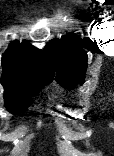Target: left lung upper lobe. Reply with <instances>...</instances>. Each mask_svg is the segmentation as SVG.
<instances>
[{
	"label": "left lung upper lobe",
	"mask_w": 114,
	"mask_h": 156,
	"mask_svg": "<svg viewBox=\"0 0 114 156\" xmlns=\"http://www.w3.org/2000/svg\"><path fill=\"white\" fill-rule=\"evenodd\" d=\"M45 49L57 71V80L62 86L73 89L79 83H83L87 55L74 34L63 36L60 40H51Z\"/></svg>",
	"instance_id": "left-lung-upper-lobe-1"
}]
</instances>
